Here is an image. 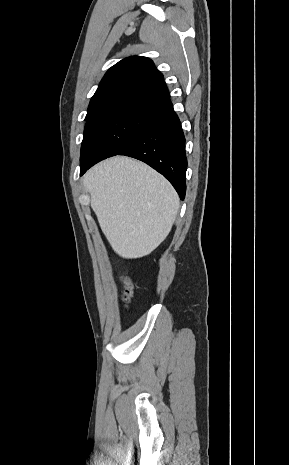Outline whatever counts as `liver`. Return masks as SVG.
I'll list each match as a JSON object with an SVG mask.
<instances>
[{"label": "liver", "mask_w": 289, "mask_h": 465, "mask_svg": "<svg viewBox=\"0 0 289 465\" xmlns=\"http://www.w3.org/2000/svg\"><path fill=\"white\" fill-rule=\"evenodd\" d=\"M83 183L100 228L120 257L146 256L168 236L179 211V197L145 163L116 156L87 171Z\"/></svg>", "instance_id": "liver-1"}]
</instances>
